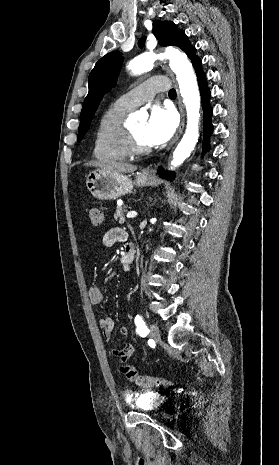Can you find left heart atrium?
I'll use <instances>...</instances> for the list:
<instances>
[{
	"label": "left heart atrium",
	"mask_w": 279,
	"mask_h": 465,
	"mask_svg": "<svg viewBox=\"0 0 279 465\" xmlns=\"http://www.w3.org/2000/svg\"><path fill=\"white\" fill-rule=\"evenodd\" d=\"M177 127V118L171 109L154 106L145 127V137L150 146L167 142Z\"/></svg>",
	"instance_id": "39dd6f15"
}]
</instances>
